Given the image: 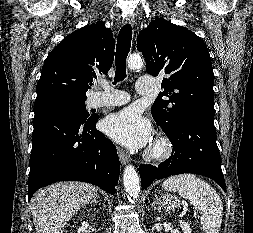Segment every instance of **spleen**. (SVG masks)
<instances>
[{"label":"spleen","mask_w":253,"mask_h":233,"mask_svg":"<svg viewBox=\"0 0 253 233\" xmlns=\"http://www.w3.org/2000/svg\"><path fill=\"white\" fill-rule=\"evenodd\" d=\"M163 188L169 192H178L190 201L201 213V225L206 233H219L223 204L217 192L207 182L194 174H181L165 180Z\"/></svg>","instance_id":"spleen-1"}]
</instances>
